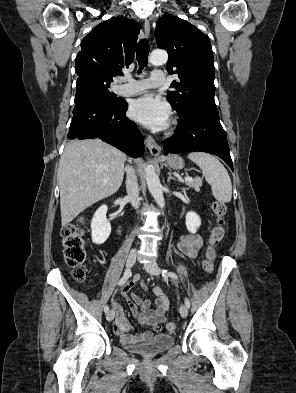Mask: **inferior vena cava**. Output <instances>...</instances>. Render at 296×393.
Returning a JSON list of instances; mask_svg holds the SVG:
<instances>
[{
	"label": "inferior vena cava",
	"mask_w": 296,
	"mask_h": 393,
	"mask_svg": "<svg viewBox=\"0 0 296 393\" xmlns=\"http://www.w3.org/2000/svg\"><path fill=\"white\" fill-rule=\"evenodd\" d=\"M126 172H127L126 190L128 194L127 196L130 199L132 205L135 208H138L140 205V201H139V187H138L137 177L132 167L127 166Z\"/></svg>",
	"instance_id": "inferior-vena-cava-1"
}]
</instances>
